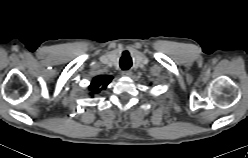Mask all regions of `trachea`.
I'll return each instance as SVG.
<instances>
[{"mask_svg": "<svg viewBox=\"0 0 248 158\" xmlns=\"http://www.w3.org/2000/svg\"><path fill=\"white\" fill-rule=\"evenodd\" d=\"M132 66V59L129 55L124 54L120 59V67L123 70H128Z\"/></svg>", "mask_w": 248, "mask_h": 158, "instance_id": "3493384b", "label": "trachea"}]
</instances>
